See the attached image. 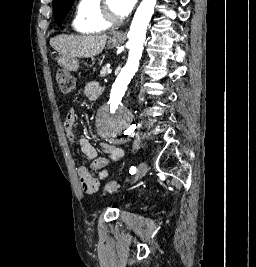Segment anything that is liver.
<instances>
[{"instance_id": "1", "label": "liver", "mask_w": 256, "mask_h": 267, "mask_svg": "<svg viewBox=\"0 0 256 267\" xmlns=\"http://www.w3.org/2000/svg\"><path fill=\"white\" fill-rule=\"evenodd\" d=\"M121 32H114L113 36H118ZM107 34H92V36H56L51 38L50 44L59 54L67 58H91L98 56L105 48Z\"/></svg>"}]
</instances>
